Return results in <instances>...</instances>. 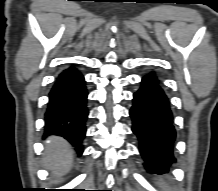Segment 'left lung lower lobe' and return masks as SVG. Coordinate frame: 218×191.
I'll return each instance as SVG.
<instances>
[{
	"label": "left lung lower lobe",
	"mask_w": 218,
	"mask_h": 191,
	"mask_svg": "<svg viewBox=\"0 0 218 191\" xmlns=\"http://www.w3.org/2000/svg\"><path fill=\"white\" fill-rule=\"evenodd\" d=\"M130 117L146 170L167 172L175 161L172 149L176 132L168 98L153 72L142 78L140 89L134 93Z\"/></svg>",
	"instance_id": "1"
}]
</instances>
